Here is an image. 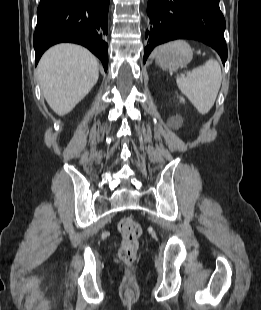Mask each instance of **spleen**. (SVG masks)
<instances>
[{
	"mask_svg": "<svg viewBox=\"0 0 261 310\" xmlns=\"http://www.w3.org/2000/svg\"><path fill=\"white\" fill-rule=\"evenodd\" d=\"M221 81L220 65L213 59L176 79L179 90L202 115L207 114L214 105Z\"/></svg>",
	"mask_w": 261,
	"mask_h": 310,
	"instance_id": "3e777b00",
	"label": "spleen"
}]
</instances>
